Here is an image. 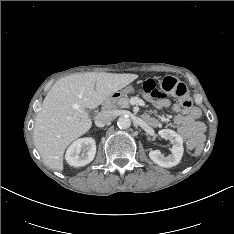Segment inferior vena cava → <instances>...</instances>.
<instances>
[{
	"label": "inferior vena cava",
	"instance_id": "inferior-vena-cava-1",
	"mask_svg": "<svg viewBox=\"0 0 234 234\" xmlns=\"http://www.w3.org/2000/svg\"><path fill=\"white\" fill-rule=\"evenodd\" d=\"M114 118V115L109 111H102L97 114L95 118V125L97 127H104L106 124L110 123Z\"/></svg>",
	"mask_w": 234,
	"mask_h": 234
}]
</instances>
